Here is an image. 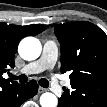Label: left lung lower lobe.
Masks as SVG:
<instances>
[{
	"mask_svg": "<svg viewBox=\"0 0 107 107\" xmlns=\"http://www.w3.org/2000/svg\"><path fill=\"white\" fill-rule=\"evenodd\" d=\"M72 91L67 89L66 92L59 99V106L68 107L69 98H71V104L73 107H104L107 103L106 99L102 94H98L95 90L78 87L74 84H71ZM66 90V89H65Z\"/></svg>",
	"mask_w": 107,
	"mask_h": 107,
	"instance_id": "left-lung-lower-lobe-1",
	"label": "left lung lower lobe"
}]
</instances>
